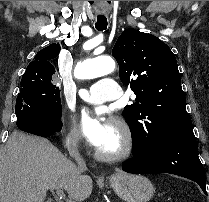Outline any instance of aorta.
I'll return each instance as SVG.
<instances>
[{
	"label": "aorta",
	"mask_w": 209,
	"mask_h": 202,
	"mask_svg": "<svg viewBox=\"0 0 209 202\" xmlns=\"http://www.w3.org/2000/svg\"><path fill=\"white\" fill-rule=\"evenodd\" d=\"M115 68V61L110 56H100L79 63L74 74L78 79H93L110 74Z\"/></svg>",
	"instance_id": "aorta-1"
}]
</instances>
